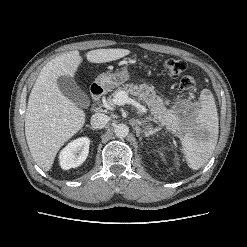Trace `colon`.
<instances>
[{"mask_svg":"<svg viewBox=\"0 0 247 247\" xmlns=\"http://www.w3.org/2000/svg\"><path fill=\"white\" fill-rule=\"evenodd\" d=\"M164 68L169 77L177 78L187 69V64L183 60L169 58L165 60ZM195 84L196 80L191 75L182 76L179 82L180 88L184 91L193 89Z\"/></svg>","mask_w":247,"mask_h":247,"instance_id":"5ec220e1","label":"colon"}]
</instances>
